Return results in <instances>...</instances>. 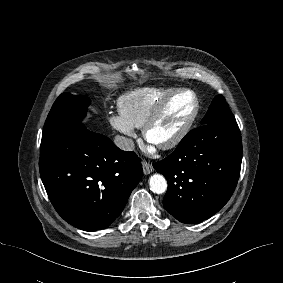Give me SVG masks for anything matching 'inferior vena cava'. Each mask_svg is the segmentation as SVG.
Instances as JSON below:
<instances>
[{"label": "inferior vena cava", "mask_w": 283, "mask_h": 283, "mask_svg": "<svg viewBox=\"0 0 283 283\" xmlns=\"http://www.w3.org/2000/svg\"><path fill=\"white\" fill-rule=\"evenodd\" d=\"M114 143L117 147L124 151H132L135 149L133 140L124 136H115Z\"/></svg>", "instance_id": "1"}]
</instances>
